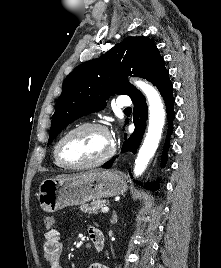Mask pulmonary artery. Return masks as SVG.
<instances>
[{"label": "pulmonary artery", "instance_id": "1", "mask_svg": "<svg viewBox=\"0 0 221 268\" xmlns=\"http://www.w3.org/2000/svg\"><path fill=\"white\" fill-rule=\"evenodd\" d=\"M117 104L119 107H130L131 100L127 96H121L118 98Z\"/></svg>", "mask_w": 221, "mask_h": 268}]
</instances>
